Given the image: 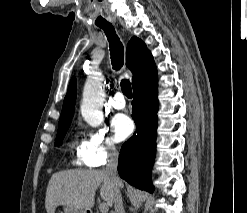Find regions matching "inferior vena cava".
<instances>
[{"instance_id": "obj_1", "label": "inferior vena cava", "mask_w": 247, "mask_h": 213, "mask_svg": "<svg viewBox=\"0 0 247 213\" xmlns=\"http://www.w3.org/2000/svg\"><path fill=\"white\" fill-rule=\"evenodd\" d=\"M118 152L114 146L108 147V162L106 172L114 182V213H125L123 208L122 196L120 192L121 181L117 176Z\"/></svg>"}]
</instances>
